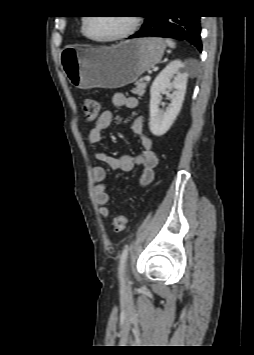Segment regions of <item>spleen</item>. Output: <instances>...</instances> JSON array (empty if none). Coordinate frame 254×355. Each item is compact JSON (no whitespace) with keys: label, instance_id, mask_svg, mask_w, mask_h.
Here are the masks:
<instances>
[{"label":"spleen","instance_id":"3e777b00","mask_svg":"<svg viewBox=\"0 0 254 355\" xmlns=\"http://www.w3.org/2000/svg\"><path fill=\"white\" fill-rule=\"evenodd\" d=\"M165 42L169 47L175 48V43L171 39H166Z\"/></svg>","mask_w":254,"mask_h":355}]
</instances>
